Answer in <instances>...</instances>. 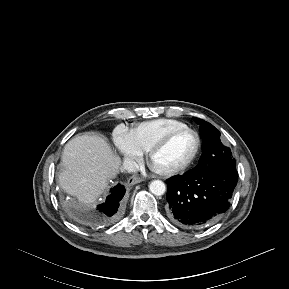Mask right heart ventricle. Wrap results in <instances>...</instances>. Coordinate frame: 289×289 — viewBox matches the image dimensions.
<instances>
[{
	"label": "right heart ventricle",
	"instance_id": "obj_1",
	"mask_svg": "<svg viewBox=\"0 0 289 289\" xmlns=\"http://www.w3.org/2000/svg\"><path fill=\"white\" fill-rule=\"evenodd\" d=\"M184 127L187 125L181 121L161 118L136 125L130 134L135 146L144 153L167 133Z\"/></svg>",
	"mask_w": 289,
	"mask_h": 289
}]
</instances>
